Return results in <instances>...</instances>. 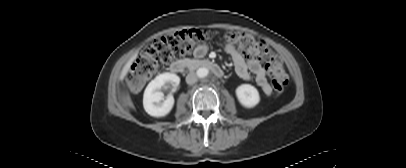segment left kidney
<instances>
[{"label": "left kidney", "mask_w": 406, "mask_h": 168, "mask_svg": "<svg viewBox=\"0 0 406 168\" xmlns=\"http://www.w3.org/2000/svg\"><path fill=\"white\" fill-rule=\"evenodd\" d=\"M235 92L240 104L246 108H253L260 102L258 90L250 84L238 86Z\"/></svg>", "instance_id": "5707ae66"}]
</instances>
